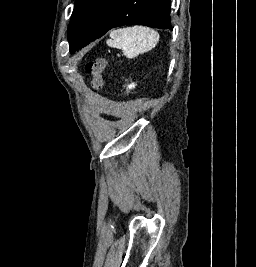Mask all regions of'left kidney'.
<instances>
[{
  "label": "left kidney",
  "instance_id": "obj_1",
  "mask_svg": "<svg viewBox=\"0 0 256 267\" xmlns=\"http://www.w3.org/2000/svg\"><path fill=\"white\" fill-rule=\"evenodd\" d=\"M129 90H132V88H135V84H130V86H128Z\"/></svg>",
  "mask_w": 256,
  "mask_h": 267
}]
</instances>
